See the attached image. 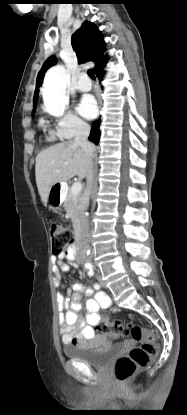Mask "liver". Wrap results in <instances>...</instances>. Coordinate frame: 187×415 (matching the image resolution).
<instances>
[{
	"mask_svg": "<svg viewBox=\"0 0 187 415\" xmlns=\"http://www.w3.org/2000/svg\"><path fill=\"white\" fill-rule=\"evenodd\" d=\"M88 158L74 141H66L41 151L36 157L35 176L39 195L47 204L49 191L57 183L87 175Z\"/></svg>",
	"mask_w": 187,
	"mask_h": 415,
	"instance_id": "1",
	"label": "liver"
}]
</instances>
